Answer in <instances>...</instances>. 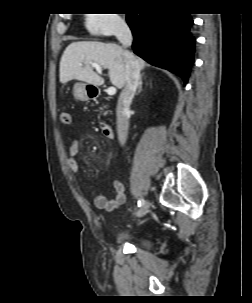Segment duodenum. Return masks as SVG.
Here are the masks:
<instances>
[{
  "label": "duodenum",
  "instance_id": "duodenum-1",
  "mask_svg": "<svg viewBox=\"0 0 252 303\" xmlns=\"http://www.w3.org/2000/svg\"><path fill=\"white\" fill-rule=\"evenodd\" d=\"M89 95L91 97L95 96V93H92L90 91H88ZM100 128L104 134V136L107 138V139H112L114 137V133H113V129L111 127V125L107 124V123H102L100 125Z\"/></svg>",
  "mask_w": 252,
  "mask_h": 303
}]
</instances>
